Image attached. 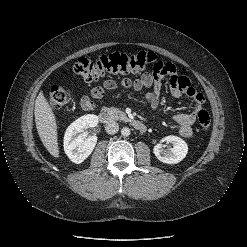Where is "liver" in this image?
Segmentation results:
<instances>
[{
	"mask_svg": "<svg viewBox=\"0 0 247 247\" xmlns=\"http://www.w3.org/2000/svg\"><path fill=\"white\" fill-rule=\"evenodd\" d=\"M34 115L37 132L44 147L53 157L58 158L59 146L56 118L42 91H40L35 100Z\"/></svg>",
	"mask_w": 247,
	"mask_h": 247,
	"instance_id": "1",
	"label": "liver"
}]
</instances>
